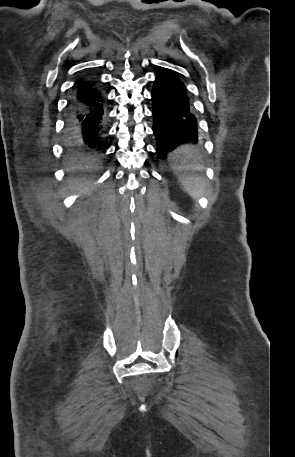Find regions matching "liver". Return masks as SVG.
I'll use <instances>...</instances> for the list:
<instances>
[{
    "label": "liver",
    "instance_id": "6515ba94",
    "mask_svg": "<svg viewBox=\"0 0 295 457\" xmlns=\"http://www.w3.org/2000/svg\"><path fill=\"white\" fill-rule=\"evenodd\" d=\"M77 168H80L79 166H73L72 169H77Z\"/></svg>",
    "mask_w": 295,
    "mask_h": 457
}]
</instances>
